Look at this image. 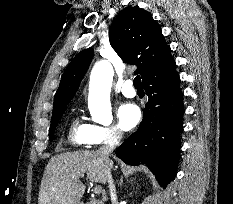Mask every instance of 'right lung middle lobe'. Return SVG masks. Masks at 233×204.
<instances>
[{"mask_svg":"<svg viewBox=\"0 0 233 204\" xmlns=\"http://www.w3.org/2000/svg\"><path fill=\"white\" fill-rule=\"evenodd\" d=\"M62 117V114L55 117V118H52L51 119V125H50V130H49V137H50V140L53 139V136H54V130L60 120V118Z\"/></svg>","mask_w":233,"mask_h":204,"instance_id":"1","label":"right lung middle lobe"}]
</instances>
